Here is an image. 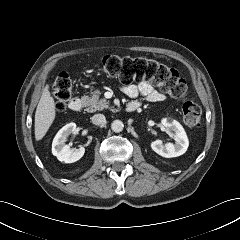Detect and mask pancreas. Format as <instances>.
Listing matches in <instances>:
<instances>
[{
	"mask_svg": "<svg viewBox=\"0 0 240 240\" xmlns=\"http://www.w3.org/2000/svg\"><path fill=\"white\" fill-rule=\"evenodd\" d=\"M101 92L99 90H95L91 93L90 96H83L81 99L84 102L87 112H96L102 111L104 109H110L108 101L105 98L100 99Z\"/></svg>",
	"mask_w": 240,
	"mask_h": 240,
	"instance_id": "cf45deb5",
	"label": "pancreas"
}]
</instances>
